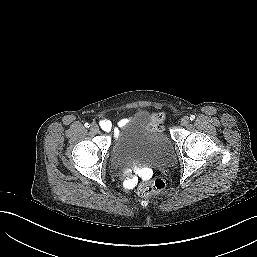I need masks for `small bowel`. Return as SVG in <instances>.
Instances as JSON below:
<instances>
[{
    "label": "small bowel",
    "instance_id": "obj_1",
    "mask_svg": "<svg viewBox=\"0 0 257 257\" xmlns=\"http://www.w3.org/2000/svg\"><path fill=\"white\" fill-rule=\"evenodd\" d=\"M125 121H126V120L123 119V120L120 122V125H121V126L124 125ZM101 125H102V127H103L105 130H107V131H113V132H115V133H116V131H117V128H116L115 126L111 125V123H110L109 121H107V120H102V121H101ZM144 175H146V173H145Z\"/></svg>",
    "mask_w": 257,
    "mask_h": 257
}]
</instances>
